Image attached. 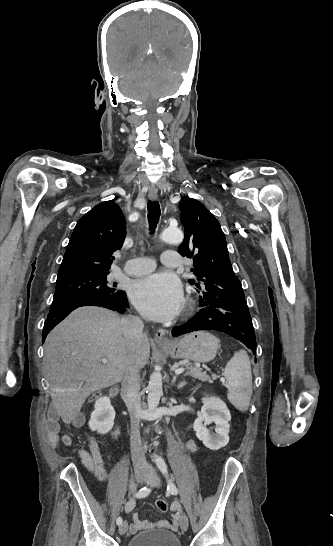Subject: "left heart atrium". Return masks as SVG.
I'll use <instances>...</instances> for the list:
<instances>
[{
  "label": "left heart atrium",
  "mask_w": 333,
  "mask_h": 546,
  "mask_svg": "<svg viewBox=\"0 0 333 546\" xmlns=\"http://www.w3.org/2000/svg\"><path fill=\"white\" fill-rule=\"evenodd\" d=\"M130 297L144 315L157 321H166L176 316L183 303L180 282L166 272L135 280L130 286Z\"/></svg>",
  "instance_id": "39dd6f15"
}]
</instances>
